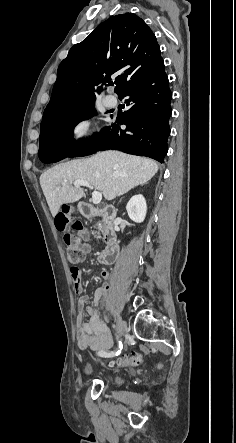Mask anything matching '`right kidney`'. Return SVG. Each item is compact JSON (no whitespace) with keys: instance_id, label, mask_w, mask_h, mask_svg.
Instances as JSON below:
<instances>
[{"instance_id":"right-kidney-1","label":"right kidney","mask_w":236,"mask_h":443,"mask_svg":"<svg viewBox=\"0 0 236 443\" xmlns=\"http://www.w3.org/2000/svg\"><path fill=\"white\" fill-rule=\"evenodd\" d=\"M126 210L131 220L136 223L143 222L147 211L145 198L141 194L133 196L127 203Z\"/></svg>"}]
</instances>
